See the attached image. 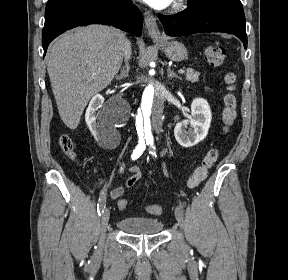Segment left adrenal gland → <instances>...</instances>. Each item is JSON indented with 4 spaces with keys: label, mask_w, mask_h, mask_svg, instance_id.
Wrapping results in <instances>:
<instances>
[{
    "label": "left adrenal gland",
    "mask_w": 288,
    "mask_h": 280,
    "mask_svg": "<svg viewBox=\"0 0 288 280\" xmlns=\"http://www.w3.org/2000/svg\"><path fill=\"white\" fill-rule=\"evenodd\" d=\"M167 72H168V79L169 80L172 79V78H176V79L181 80V77L176 75V73H174L173 70L170 67H168Z\"/></svg>",
    "instance_id": "obj_1"
}]
</instances>
